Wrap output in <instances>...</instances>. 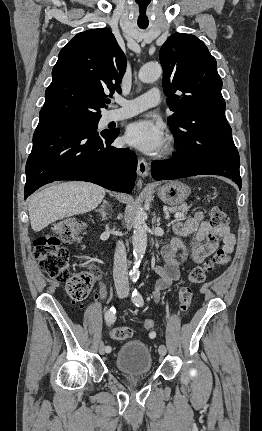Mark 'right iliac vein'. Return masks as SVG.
Listing matches in <instances>:
<instances>
[{"label":"right iliac vein","instance_id":"1","mask_svg":"<svg viewBox=\"0 0 262 431\" xmlns=\"http://www.w3.org/2000/svg\"><path fill=\"white\" fill-rule=\"evenodd\" d=\"M125 291L124 290H122V291H120L119 292V296L120 297H124L125 296ZM105 351H106V347H105V345H104V343L103 342H101L100 343V345H99V353L101 354V355H104L105 354Z\"/></svg>","mask_w":262,"mask_h":431}]
</instances>
